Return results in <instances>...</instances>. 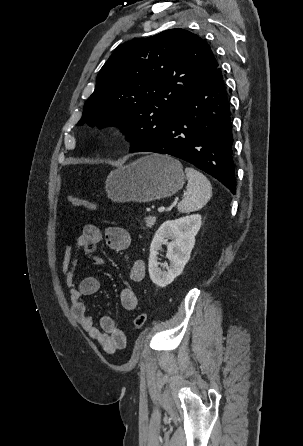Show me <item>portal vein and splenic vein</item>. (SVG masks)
Here are the masks:
<instances>
[{"label":"portal vein and splenic vein","instance_id":"portal-vein-and-splenic-vein-1","mask_svg":"<svg viewBox=\"0 0 303 446\" xmlns=\"http://www.w3.org/2000/svg\"><path fill=\"white\" fill-rule=\"evenodd\" d=\"M164 210H165V207H163V206H161V207L158 208V212H160V213H161V212H164Z\"/></svg>","mask_w":303,"mask_h":446}]
</instances>
